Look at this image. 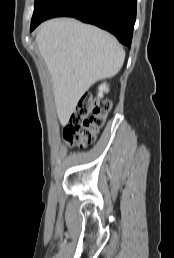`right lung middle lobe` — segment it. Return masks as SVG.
Wrapping results in <instances>:
<instances>
[{
  "instance_id": "1",
  "label": "right lung middle lobe",
  "mask_w": 174,
  "mask_h": 258,
  "mask_svg": "<svg viewBox=\"0 0 174 258\" xmlns=\"http://www.w3.org/2000/svg\"><path fill=\"white\" fill-rule=\"evenodd\" d=\"M59 1L60 0H35L34 13L31 20V31L42 21H44L47 13Z\"/></svg>"
}]
</instances>
